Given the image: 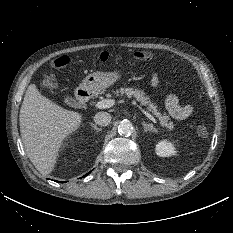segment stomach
<instances>
[{"instance_id":"1","label":"stomach","mask_w":233,"mask_h":233,"mask_svg":"<svg viewBox=\"0 0 233 233\" xmlns=\"http://www.w3.org/2000/svg\"><path fill=\"white\" fill-rule=\"evenodd\" d=\"M120 76L119 70L91 73L84 78L80 84V88L89 92L106 89L113 85L120 78Z\"/></svg>"}]
</instances>
